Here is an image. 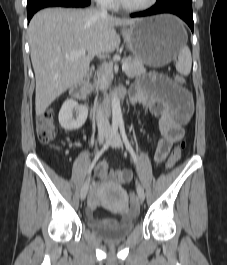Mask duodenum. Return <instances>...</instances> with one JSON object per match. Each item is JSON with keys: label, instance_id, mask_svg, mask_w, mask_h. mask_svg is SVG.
Wrapping results in <instances>:
<instances>
[{"label": "duodenum", "instance_id": "duodenum-1", "mask_svg": "<svg viewBox=\"0 0 227 265\" xmlns=\"http://www.w3.org/2000/svg\"><path fill=\"white\" fill-rule=\"evenodd\" d=\"M87 84H88L87 76H82L81 78H79L71 86V89H70L71 95L77 99L85 100L87 98ZM119 96L121 99H123L125 96V91L120 90ZM104 112L107 113V110H105ZM94 115L98 116L99 113L94 112Z\"/></svg>", "mask_w": 227, "mask_h": 265}]
</instances>
